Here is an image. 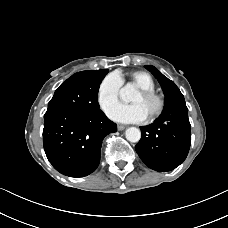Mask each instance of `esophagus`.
<instances>
[{
  "label": "esophagus",
  "instance_id": "34e87169",
  "mask_svg": "<svg viewBox=\"0 0 228 228\" xmlns=\"http://www.w3.org/2000/svg\"><path fill=\"white\" fill-rule=\"evenodd\" d=\"M117 128H118L119 131H122V130L126 129L127 126H125V125H118Z\"/></svg>",
  "mask_w": 228,
  "mask_h": 228
}]
</instances>
